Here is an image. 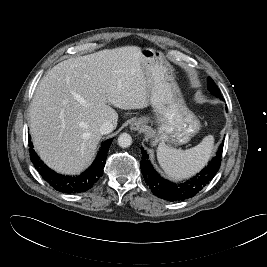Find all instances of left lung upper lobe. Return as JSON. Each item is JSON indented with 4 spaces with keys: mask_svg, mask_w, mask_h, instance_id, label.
Returning <instances> with one entry per match:
<instances>
[{
    "mask_svg": "<svg viewBox=\"0 0 267 267\" xmlns=\"http://www.w3.org/2000/svg\"><path fill=\"white\" fill-rule=\"evenodd\" d=\"M207 87L210 91H212L217 97H219L220 99H222V96L220 94V91L218 89V87L216 86V84L214 83V81L208 77L207 79Z\"/></svg>",
    "mask_w": 267,
    "mask_h": 267,
    "instance_id": "5c2ea615",
    "label": "left lung upper lobe"
}]
</instances>
